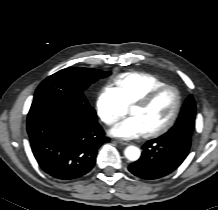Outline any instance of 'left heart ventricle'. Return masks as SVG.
<instances>
[{
    "instance_id": "obj_1",
    "label": "left heart ventricle",
    "mask_w": 218,
    "mask_h": 210,
    "mask_svg": "<svg viewBox=\"0 0 218 210\" xmlns=\"http://www.w3.org/2000/svg\"><path fill=\"white\" fill-rule=\"evenodd\" d=\"M176 103L175 94L172 90H166L155 101L147 106H134L131 114L139 117L146 131L150 132L163 126L171 117Z\"/></svg>"
}]
</instances>
